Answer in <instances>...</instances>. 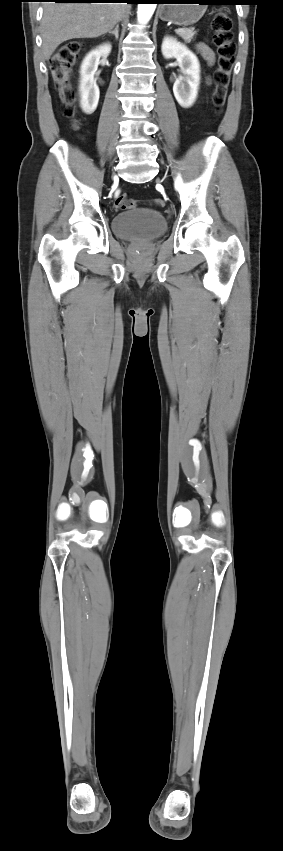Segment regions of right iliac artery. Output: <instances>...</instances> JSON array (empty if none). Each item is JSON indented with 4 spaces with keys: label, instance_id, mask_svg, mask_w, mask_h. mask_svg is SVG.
Masks as SVG:
<instances>
[{
    "label": "right iliac artery",
    "instance_id": "obj_1",
    "mask_svg": "<svg viewBox=\"0 0 283 851\" xmlns=\"http://www.w3.org/2000/svg\"><path fill=\"white\" fill-rule=\"evenodd\" d=\"M122 194H123V193L120 191V192H119V195L121 196Z\"/></svg>",
    "mask_w": 283,
    "mask_h": 851
}]
</instances>
